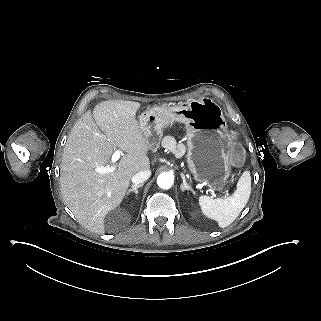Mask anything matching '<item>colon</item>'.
<instances>
[{
	"mask_svg": "<svg viewBox=\"0 0 321 321\" xmlns=\"http://www.w3.org/2000/svg\"><path fill=\"white\" fill-rule=\"evenodd\" d=\"M230 155H231V157L234 158V159H239V157H240V152H239V150L236 148V146H234V145L231 146Z\"/></svg>",
	"mask_w": 321,
	"mask_h": 321,
	"instance_id": "colon-1",
	"label": "colon"
}]
</instances>
